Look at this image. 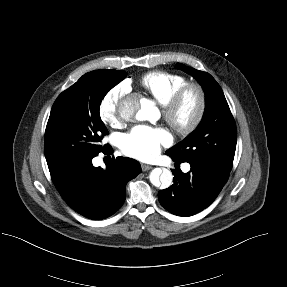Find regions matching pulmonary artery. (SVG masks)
Segmentation results:
<instances>
[{
	"label": "pulmonary artery",
	"instance_id": "1",
	"mask_svg": "<svg viewBox=\"0 0 287 287\" xmlns=\"http://www.w3.org/2000/svg\"><path fill=\"white\" fill-rule=\"evenodd\" d=\"M184 169H185V170H188V169H189V166H188V165H186V166L184 167Z\"/></svg>",
	"mask_w": 287,
	"mask_h": 287
}]
</instances>
